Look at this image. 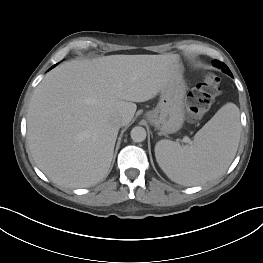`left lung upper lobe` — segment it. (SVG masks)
I'll use <instances>...</instances> for the list:
<instances>
[{
    "mask_svg": "<svg viewBox=\"0 0 263 263\" xmlns=\"http://www.w3.org/2000/svg\"><path fill=\"white\" fill-rule=\"evenodd\" d=\"M213 65H214L215 67L220 68L224 73L232 76V73H231V71L229 70V68L226 66V64H224V63H222V62H219V61H217V60H214V61H213Z\"/></svg>",
    "mask_w": 263,
    "mask_h": 263,
    "instance_id": "obj_1",
    "label": "left lung upper lobe"
}]
</instances>
